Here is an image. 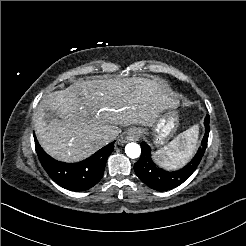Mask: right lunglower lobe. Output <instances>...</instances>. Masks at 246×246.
Returning a JSON list of instances; mask_svg holds the SVG:
<instances>
[{
	"label": "right lung lower lobe",
	"mask_w": 246,
	"mask_h": 246,
	"mask_svg": "<svg viewBox=\"0 0 246 246\" xmlns=\"http://www.w3.org/2000/svg\"><path fill=\"white\" fill-rule=\"evenodd\" d=\"M38 158L49 176L63 188L85 191L102 178L107 158L114 150V142L103 147L88 159L78 163H64L50 157L35 139Z\"/></svg>",
	"instance_id": "98d812e1"
}]
</instances>
